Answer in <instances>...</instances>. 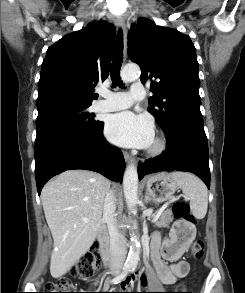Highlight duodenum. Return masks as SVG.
Returning <instances> with one entry per match:
<instances>
[{"label":"duodenum","instance_id":"1","mask_svg":"<svg viewBox=\"0 0 245 293\" xmlns=\"http://www.w3.org/2000/svg\"><path fill=\"white\" fill-rule=\"evenodd\" d=\"M98 244L100 248V256L101 258L107 262L109 260V253H108V244H109V237H108V230L103 228L98 232Z\"/></svg>","mask_w":245,"mask_h":293}]
</instances>
